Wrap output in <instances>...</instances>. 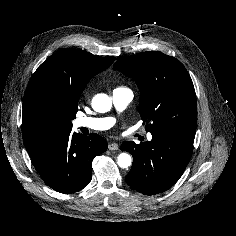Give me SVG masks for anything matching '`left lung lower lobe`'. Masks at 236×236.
I'll return each instance as SVG.
<instances>
[{
    "mask_svg": "<svg viewBox=\"0 0 236 236\" xmlns=\"http://www.w3.org/2000/svg\"><path fill=\"white\" fill-rule=\"evenodd\" d=\"M195 135L181 132L152 133V140L124 142L120 149L133 156L126 183L145 195L162 193L183 174L193 151Z\"/></svg>",
    "mask_w": 236,
    "mask_h": 236,
    "instance_id": "1",
    "label": "left lung lower lobe"
}]
</instances>
